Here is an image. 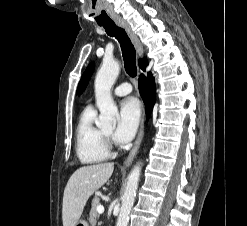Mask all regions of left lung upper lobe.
Here are the masks:
<instances>
[{
  "label": "left lung upper lobe",
  "instance_id": "5c2ea615",
  "mask_svg": "<svg viewBox=\"0 0 247 226\" xmlns=\"http://www.w3.org/2000/svg\"><path fill=\"white\" fill-rule=\"evenodd\" d=\"M94 70V63H90L88 65V67L86 68L84 74L82 75V78L78 84V88H77V94H81L84 89L86 88L88 81L93 73Z\"/></svg>",
  "mask_w": 247,
  "mask_h": 226
}]
</instances>
